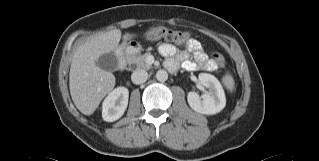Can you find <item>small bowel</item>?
Returning a JSON list of instances; mask_svg holds the SVG:
<instances>
[{
	"label": "small bowel",
	"instance_id": "obj_1",
	"mask_svg": "<svg viewBox=\"0 0 319 161\" xmlns=\"http://www.w3.org/2000/svg\"><path fill=\"white\" fill-rule=\"evenodd\" d=\"M159 52L165 57H169L167 66L170 69L178 67L179 62H182L183 67L186 70L193 71L197 69H203L206 71L214 70L211 68V60L207 59V54L203 50L201 44L197 40L191 39L187 44V50L180 51L177 54V58H172L176 53L177 49L175 46L165 43L159 47ZM193 53L194 61L189 59V54Z\"/></svg>",
	"mask_w": 319,
	"mask_h": 161
}]
</instances>
